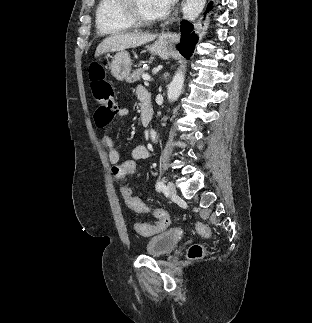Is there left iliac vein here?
Returning a JSON list of instances; mask_svg holds the SVG:
<instances>
[{
	"instance_id": "4c4485c4",
	"label": "left iliac vein",
	"mask_w": 312,
	"mask_h": 323,
	"mask_svg": "<svg viewBox=\"0 0 312 323\" xmlns=\"http://www.w3.org/2000/svg\"><path fill=\"white\" fill-rule=\"evenodd\" d=\"M166 193L170 196L176 194V187L173 182L169 181L167 183Z\"/></svg>"
}]
</instances>
